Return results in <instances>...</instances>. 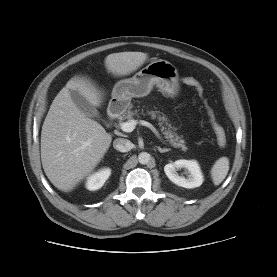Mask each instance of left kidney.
Returning a JSON list of instances; mask_svg holds the SVG:
<instances>
[{
	"label": "left kidney",
	"instance_id": "5707ae66",
	"mask_svg": "<svg viewBox=\"0 0 277 277\" xmlns=\"http://www.w3.org/2000/svg\"><path fill=\"white\" fill-rule=\"evenodd\" d=\"M185 168L187 177L179 176L178 169ZM166 176L176 185L184 188H196L203 183V175L196 160L180 159L164 166Z\"/></svg>",
	"mask_w": 277,
	"mask_h": 277
}]
</instances>
